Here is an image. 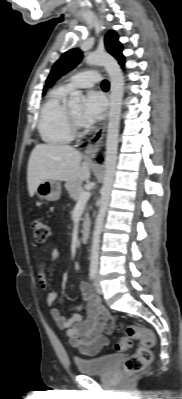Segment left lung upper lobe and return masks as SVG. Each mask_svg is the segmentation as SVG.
I'll return each mask as SVG.
<instances>
[{"label": "left lung upper lobe", "instance_id": "5c2ea615", "mask_svg": "<svg viewBox=\"0 0 182 399\" xmlns=\"http://www.w3.org/2000/svg\"><path fill=\"white\" fill-rule=\"evenodd\" d=\"M105 47L107 51L113 55L119 63L124 65V56L122 55V45L118 41V36L114 31H109L105 37ZM82 59V52L79 49H71L65 52L60 59L54 64L49 77L47 78V86L53 83L62 75L73 69ZM44 87V92L46 91Z\"/></svg>", "mask_w": 182, "mask_h": 399}]
</instances>
